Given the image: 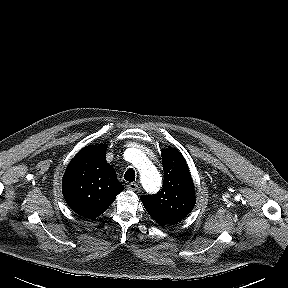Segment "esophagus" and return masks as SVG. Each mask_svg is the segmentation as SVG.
Masks as SVG:
<instances>
[{
	"mask_svg": "<svg viewBox=\"0 0 288 288\" xmlns=\"http://www.w3.org/2000/svg\"><path fill=\"white\" fill-rule=\"evenodd\" d=\"M127 189H129L131 191H136V190H138V184L135 182L129 183L127 185Z\"/></svg>",
	"mask_w": 288,
	"mask_h": 288,
	"instance_id": "1",
	"label": "esophagus"
}]
</instances>
